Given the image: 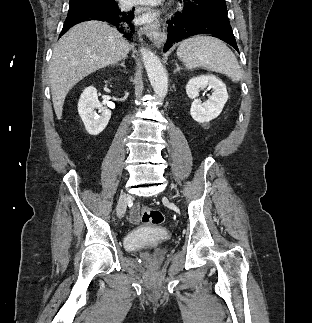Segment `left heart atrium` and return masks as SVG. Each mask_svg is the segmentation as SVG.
I'll return each mask as SVG.
<instances>
[{"label": "left heart atrium", "instance_id": "left-heart-atrium-1", "mask_svg": "<svg viewBox=\"0 0 312 323\" xmlns=\"http://www.w3.org/2000/svg\"><path fill=\"white\" fill-rule=\"evenodd\" d=\"M127 3L133 4L134 7L140 4L141 8H148L150 4H160L161 0H127Z\"/></svg>", "mask_w": 312, "mask_h": 323}]
</instances>
